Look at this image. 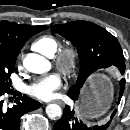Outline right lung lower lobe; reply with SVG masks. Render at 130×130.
Here are the masks:
<instances>
[{"label": "right lung lower lobe", "mask_w": 130, "mask_h": 130, "mask_svg": "<svg viewBox=\"0 0 130 130\" xmlns=\"http://www.w3.org/2000/svg\"><path fill=\"white\" fill-rule=\"evenodd\" d=\"M7 94H18L12 89H0V130H20V118L21 116L29 111L38 109L40 103L27 97L21 96L15 100V105L11 108H6L3 100V95Z\"/></svg>", "instance_id": "98d812e1"}]
</instances>
